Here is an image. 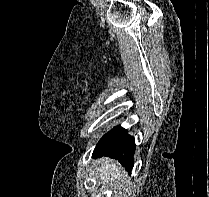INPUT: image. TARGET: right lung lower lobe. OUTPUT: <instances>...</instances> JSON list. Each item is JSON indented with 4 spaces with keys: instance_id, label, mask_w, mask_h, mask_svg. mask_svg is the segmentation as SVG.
<instances>
[{
    "instance_id": "98d812e1",
    "label": "right lung lower lobe",
    "mask_w": 209,
    "mask_h": 197,
    "mask_svg": "<svg viewBox=\"0 0 209 197\" xmlns=\"http://www.w3.org/2000/svg\"><path fill=\"white\" fill-rule=\"evenodd\" d=\"M135 149L134 138L127 134V130L117 126L101 138L93 155L95 157L105 155L117 159L126 170L131 171Z\"/></svg>"
}]
</instances>
